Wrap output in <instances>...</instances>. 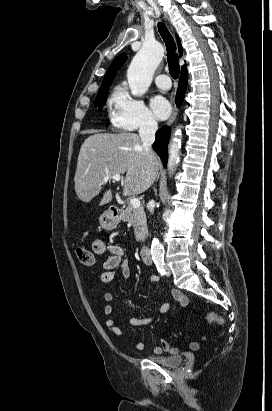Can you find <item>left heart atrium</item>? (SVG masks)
Wrapping results in <instances>:
<instances>
[{
    "instance_id": "obj_1",
    "label": "left heart atrium",
    "mask_w": 272,
    "mask_h": 411,
    "mask_svg": "<svg viewBox=\"0 0 272 411\" xmlns=\"http://www.w3.org/2000/svg\"><path fill=\"white\" fill-rule=\"evenodd\" d=\"M151 108L159 119H166L170 114V104L162 96H155L151 99Z\"/></svg>"
}]
</instances>
